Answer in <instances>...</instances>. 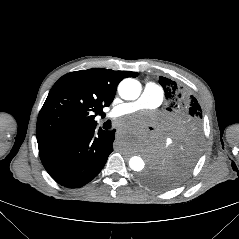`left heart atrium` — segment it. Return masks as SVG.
I'll return each instance as SVG.
<instances>
[{
    "label": "left heart atrium",
    "instance_id": "left-heart-atrium-1",
    "mask_svg": "<svg viewBox=\"0 0 239 239\" xmlns=\"http://www.w3.org/2000/svg\"><path fill=\"white\" fill-rule=\"evenodd\" d=\"M138 122H137V120H133L131 123H124V124H132V125H135V124H137Z\"/></svg>",
    "mask_w": 239,
    "mask_h": 239
}]
</instances>
